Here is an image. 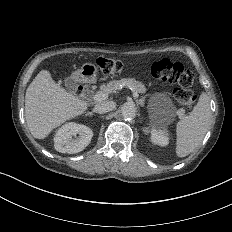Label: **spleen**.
<instances>
[{"label":"spleen","mask_w":232,"mask_h":232,"mask_svg":"<svg viewBox=\"0 0 232 232\" xmlns=\"http://www.w3.org/2000/svg\"><path fill=\"white\" fill-rule=\"evenodd\" d=\"M211 118L210 100L202 91L190 113L182 115L176 125L175 153L185 157L192 153L204 138Z\"/></svg>","instance_id":"1"}]
</instances>
